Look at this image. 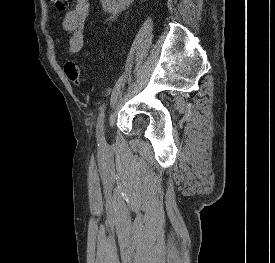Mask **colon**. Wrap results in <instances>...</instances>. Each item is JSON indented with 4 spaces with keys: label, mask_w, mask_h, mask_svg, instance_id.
<instances>
[{
    "label": "colon",
    "mask_w": 275,
    "mask_h": 263,
    "mask_svg": "<svg viewBox=\"0 0 275 263\" xmlns=\"http://www.w3.org/2000/svg\"><path fill=\"white\" fill-rule=\"evenodd\" d=\"M58 11H65L68 8V0H52ZM64 73L66 77L75 85L80 86L84 82V76L81 73L79 65L74 60H67L64 64Z\"/></svg>",
    "instance_id": "5ec220e1"
}]
</instances>
